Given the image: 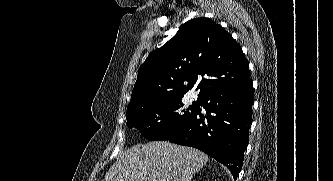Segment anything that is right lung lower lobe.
I'll list each match as a JSON object with an SVG mask.
<instances>
[{
  "instance_id": "obj_1",
  "label": "right lung lower lobe",
  "mask_w": 333,
  "mask_h": 181,
  "mask_svg": "<svg viewBox=\"0 0 333 181\" xmlns=\"http://www.w3.org/2000/svg\"><path fill=\"white\" fill-rule=\"evenodd\" d=\"M254 103L252 79L217 89L199 100L192 118L167 140L195 147L225 165L234 180L242 168Z\"/></svg>"
}]
</instances>
